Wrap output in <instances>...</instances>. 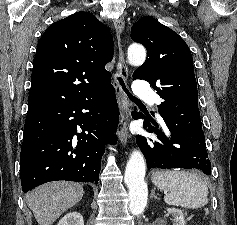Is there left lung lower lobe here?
I'll return each mask as SVG.
<instances>
[{
	"instance_id": "left-lung-lower-lobe-1",
	"label": "left lung lower lobe",
	"mask_w": 237,
	"mask_h": 225,
	"mask_svg": "<svg viewBox=\"0 0 237 225\" xmlns=\"http://www.w3.org/2000/svg\"><path fill=\"white\" fill-rule=\"evenodd\" d=\"M134 110V119L143 118V128L156 134L154 139L137 136L136 142L145 156L148 169H200L211 174L200 112L197 105H188L175 111L160 112L161 126L146 112Z\"/></svg>"
}]
</instances>
